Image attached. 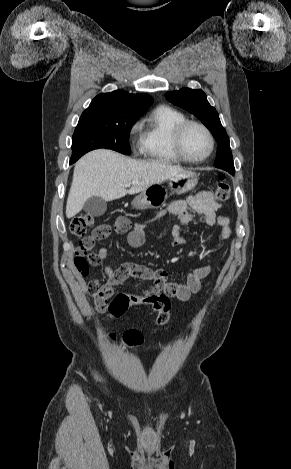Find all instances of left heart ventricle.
Returning <instances> with one entry per match:
<instances>
[{
	"label": "left heart ventricle",
	"mask_w": 291,
	"mask_h": 469,
	"mask_svg": "<svg viewBox=\"0 0 291 469\" xmlns=\"http://www.w3.org/2000/svg\"><path fill=\"white\" fill-rule=\"evenodd\" d=\"M210 143L205 132L197 127L190 126L184 135V150L191 158H201L209 151Z\"/></svg>",
	"instance_id": "obj_1"
}]
</instances>
